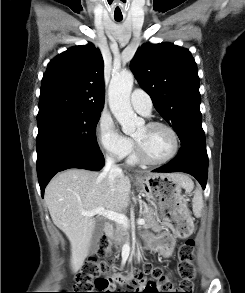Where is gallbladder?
Here are the masks:
<instances>
[{"mask_svg":"<svg viewBox=\"0 0 245 293\" xmlns=\"http://www.w3.org/2000/svg\"><path fill=\"white\" fill-rule=\"evenodd\" d=\"M104 234V223L97 221L93 234H92V238H91V244H90V248H89V254L92 255L94 253H96L97 248H98V243L100 241V239L102 238Z\"/></svg>","mask_w":245,"mask_h":293,"instance_id":"bac80fb5","label":"gallbladder"}]
</instances>
